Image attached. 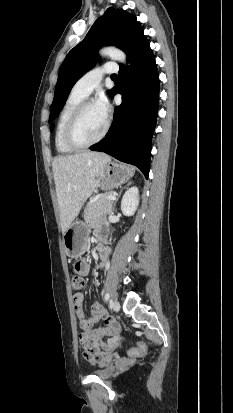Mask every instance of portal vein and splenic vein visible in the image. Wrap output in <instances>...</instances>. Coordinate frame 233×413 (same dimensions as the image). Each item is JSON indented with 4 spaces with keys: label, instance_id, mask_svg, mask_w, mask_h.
Returning <instances> with one entry per match:
<instances>
[{
    "label": "portal vein and splenic vein",
    "instance_id": "1",
    "mask_svg": "<svg viewBox=\"0 0 233 413\" xmlns=\"http://www.w3.org/2000/svg\"><path fill=\"white\" fill-rule=\"evenodd\" d=\"M107 198H108L109 200H114V199H115V196H114V195H109V196H107Z\"/></svg>",
    "mask_w": 233,
    "mask_h": 413
}]
</instances>
